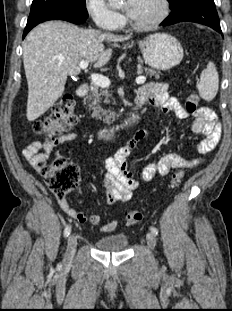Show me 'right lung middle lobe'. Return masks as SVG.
I'll return each mask as SVG.
<instances>
[{
	"label": "right lung middle lobe",
	"instance_id": "1",
	"mask_svg": "<svg viewBox=\"0 0 232 311\" xmlns=\"http://www.w3.org/2000/svg\"><path fill=\"white\" fill-rule=\"evenodd\" d=\"M51 8L66 9L88 17L85 0H33L30 13Z\"/></svg>",
	"mask_w": 232,
	"mask_h": 311
}]
</instances>
